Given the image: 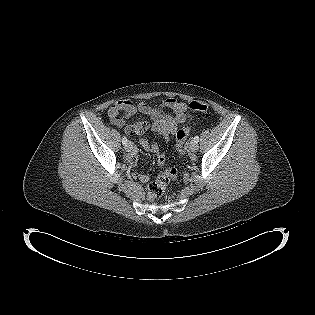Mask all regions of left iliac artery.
<instances>
[{
	"label": "left iliac artery",
	"mask_w": 315,
	"mask_h": 315,
	"mask_svg": "<svg viewBox=\"0 0 315 315\" xmlns=\"http://www.w3.org/2000/svg\"><path fill=\"white\" fill-rule=\"evenodd\" d=\"M199 139H200L199 136H195L194 139H193V141L198 143V142H199Z\"/></svg>",
	"instance_id": "44dca946"
}]
</instances>
